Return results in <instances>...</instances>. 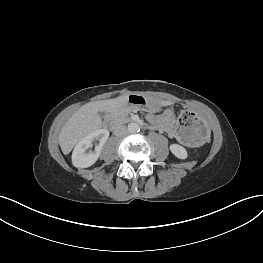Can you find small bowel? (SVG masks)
I'll return each instance as SVG.
<instances>
[{
    "instance_id": "small-bowel-1",
    "label": "small bowel",
    "mask_w": 263,
    "mask_h": 263,
    "mask_svg": "<svg viewBox=\"0 0 263 263\" xmlns=\"http://www.w3.org/2000/svg\"><path fill=\"white\" fill-rule=\"evenodd\" d=\"M148 121L151 123L153 128L164 131L170 138H174L181 143H186L182 136L181 132L175 131L172 126V122H167L164 120L162 114H153L150 113L147 115Z\"/></svg>"
}]
</instances>
